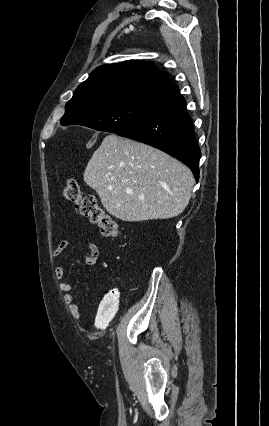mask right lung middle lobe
<instances>
[{
  "mask_svg": "<svg viewBox=\"0 0 269 426\" xmlns=\"http://www.w3.org/2000/svg\"><path fill=\"white\" fill-rule=\"evenodd\" d=\"M160 95L161 92L144 90L104 91L91 95L74 93L60 123L115 133L145 116Z\"/></svg>",
  "mask_w": 269,
  "mask_h": 426,
  "instance_id": "right-lung-middle-lobe-1",
  "label": "right lung middle lobe"
}]
</instances>
